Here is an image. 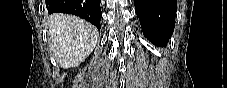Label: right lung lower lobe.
<instances>
[{"instance_id":"right-lung-lower-lobe-1","label":"right lung lower lobe","mask_w":227,"mask_h":88,"mask_svg":"<svg viewBox=\"0 0 227 88\" xmlns=\"http://www.w3.org/2000/svg\"><path fill=\"white\" fill-rule=\"evenodd\" d=\"M100 2L101 0H46V7L49 13L73 14L91 22L100 29L102 17Z\"/></svg>"}]
</instances>
